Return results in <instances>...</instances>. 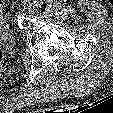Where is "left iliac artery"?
Segmentation results:
<instances>
[{
    "label": "left iliac artery",
    "mask_w": 113,
    "mask_h": 113,
    "mask_svg": "<svg viewBox=\"0 0 113 113\" xmlns=\"http://www.w3.org/2000/svg\"><path fill=\"white\" fill-rule=\"evenodd\" d=\"M34 4L36 7H41V5L43 4L42 0H35Z\"/></svg>",
    "instance_id": "44dca946"
}]
</instances>
